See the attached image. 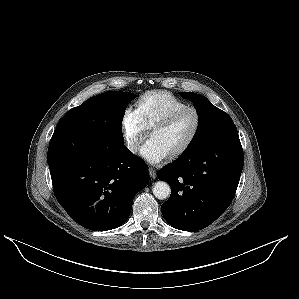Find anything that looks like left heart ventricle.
I'll use <instances>...</instances> for the list:
<instances>
[{
	"label": "left heart ventricle",
	"mask_w": 299,
	"mask_h": 299,
	"mask_svg": "<svg viewBox=\"0 0 299 299\" xmlns=\"http://www.w3.org/2000/svg\"><path fill=\"white\" fill-rule=\"evenodd\" d=\"M194 127L195 115L187 112L168 128L154 131L151 138L157 140L168 154H171L186 143Z\"/></svg>",
	"instance_id": "left-heart-ventricle-1"
}]
</instances>
